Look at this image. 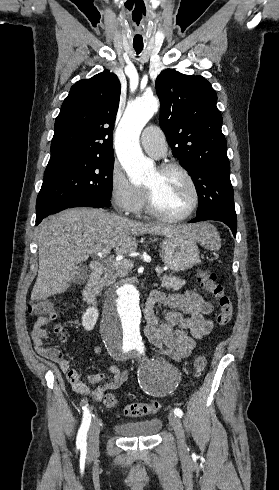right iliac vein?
I'll return each mask as SVG.
<instances>
[{"label": "right iliac vein", "instance_id": "1", "mask_svg": "<svg viewBox=\"0 0 279 490\" xmlns=\"http://www.w3.org/2000/svg\"><path fill=\"white\" fill-rule=\"evenodd\" d=\"M100 421L94 417L88 433V453L96 455L99 449Z\"/></svg>", "mask_w": 279, "mask_h": 490}]
</instances>
